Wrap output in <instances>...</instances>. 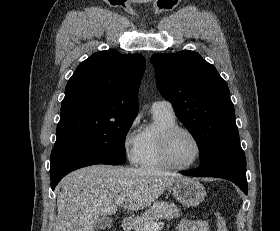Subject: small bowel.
Listing matches in <instances>:
<instances>
[{
	"label": "small bowel",
	"instance_id": "small-bowel-1",
	"mask_svg": "<svg viewBox=\"0 0 280 231\" xmlns=\"http://www.w3.org/2000/svg\"><path fill=\"white\" fill-rule=\"evenodd\" d=\"M176 231H208V223L204 220L182 218L176 224Z\"/></svg>",
	"mask_w": 280,
	"mask_h": 231
}]
</instances>
